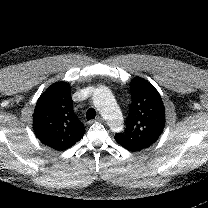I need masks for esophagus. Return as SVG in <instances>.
Listing matches in <instances>:
<instances>
[{
    "mask_svg": "<svg viewBox=\"0 0 208 208\" xmlns=\"http://www.w3.org/2000/svg\"><path fill=\"white\" fill-rule=\"evenodd\" d=\"M95 121L104 122V118H102L101 116H98Z\"/></svg>",
    "mask_w": 208,
    "mask_h": 208,
    "instance_id": "esophagus-1",
    "label": "esophagus"
}]
</instances>
